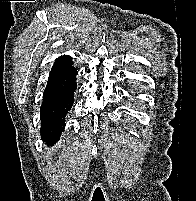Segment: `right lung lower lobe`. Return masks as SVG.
Here are the masks:
<instances>
[{"label": "right lung lower lobe", "instance_id": "1", "mask_svg": "<svg viewBox=\"0 0 196 201\" xmlns=\"http://www.w3.org/2000/svg\"><path fill=\"white\" fill-rule=\"evenodd\" d=\"M71 58H58L51 72L44 91L40 109L41 137L50 145L58 141L65 127V117L74 102L77 70L72 66Z\"/></svg>", "mask_w": 196, "mask_h": 201}]
</instances>
